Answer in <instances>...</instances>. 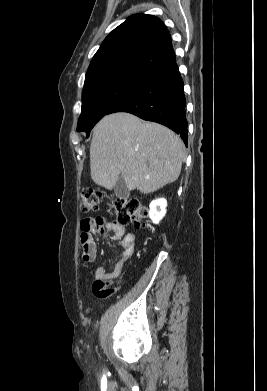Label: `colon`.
I'll return each mask as SVG.
<instances>
[{
  "instance_id": "5ec220e1",
  "label": "colon",
  "mask_w": 267,
  "mask_h": 391,
  "mask_svg": "<svg viewBox=\"0 0 267 391\" xmlns=\"http://www.w3.org/2000/svg\"><path fill=\"white\" fill-rule=\"evenodd\" d=\"M104 193L87 187L80 193V208L84 213L95 212L100 208ZM115 222L120 226L132 224L136 229L146 227L147 208L136 198L118 199L112 202Z\"/></svg>"
}]
</instances>
